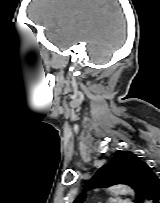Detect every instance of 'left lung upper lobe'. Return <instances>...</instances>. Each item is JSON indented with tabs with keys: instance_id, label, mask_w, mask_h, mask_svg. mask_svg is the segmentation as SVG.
Masks as SVG:
<instances>
[{
	"instance_id": "5c2ea615",
	"label": "left lung upper lobe",
	"mask_w": 160,
	"mask_h": 203,
	"mask_svg": "<svg viewBox=\"0 0 160 203\" xmlns=\"http://www.w3.org/2000/svg\"><path fill=\"white\" fill-rule=\"evenodd\" d=\"M158 176L153 169L136 154L117 151L113 160L101 167L87 183L85 191L95 187H108L112 184H126L138 193L136 203L149 199ZM85 193L78 196L74 203H82Z\"/></svg>"
}]
</instances>
